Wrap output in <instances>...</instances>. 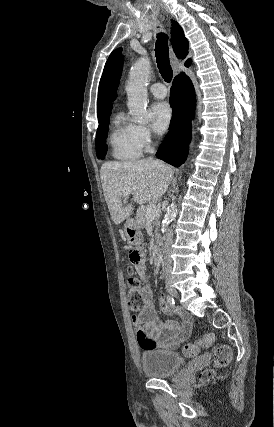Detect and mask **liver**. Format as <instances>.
Returning <instances> with one entry per match:
<instances>
[{"mask_svg":"<svg viewBox=\"0 0 274 427\" xmlns=\"http://www.w3.org/2000/svg\"><path fill=\"white\" fill-rule=\"evenodd\" d=\"M173 174V168L160 160L105 162L101 166L100 178L104 198L114 223L118 225L133 214L132 204H122L126 190H132V202L140 206L146 202H156L167 192Z\"/></svg>","mask_w":274,"mask_h":427,"instance_id":"liver-1","label":"liver"}]
</instances>
